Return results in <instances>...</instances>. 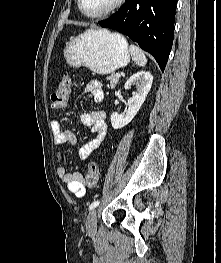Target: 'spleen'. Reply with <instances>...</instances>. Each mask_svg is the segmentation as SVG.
<instances>
[{
    "label": "spleen",
    "mask_w": 221,
    "mask_h": 263,
    "mask_svg": "<svg viewBox=\"0 0 221 263\" xmlns=\"http://www.w3.org/2000/svg\"><path fill=\"white\" fill-rule=\"evenodd\" d=\"M129 51H130L132 60L138 66H145L146 65L147 58H146L144 52L138 46L131 44L129 47Z\"/></svg>",
    "instance_id": "1"
}]
</instances>
